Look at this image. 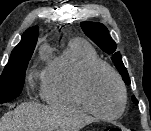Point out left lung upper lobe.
<instances>
[{"mask_svg": "<svg viewBox=\"0 0 151 131\" xmlns=\"http://www.w3.org/2000/svg\"><path fill=\"white\" fill-rule=\"evenodd\" d=\"M81 28L85 34L95 42L104 52L112 54V61L122 75L126 84H130L128 71L125 68L120 52H116V43L110 37L108 29L101 23L81 22ZM133 102L138 105V100L132 96Z\"/></svg>", "mask_w": 151, "mask_h": 131, "instance_id": "left-lung-upper-lobe-1", "label": "left lung upper lobe"}]
</instances>
